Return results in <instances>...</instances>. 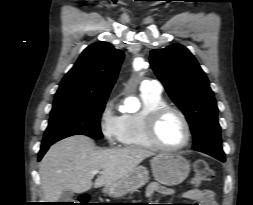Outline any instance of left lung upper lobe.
Here are the masks:
<instances>
[{"instance_id":"5c2ea615","label":"left lung upper lobe","mask_w":253,"mask_h":205,"mask_svg":"<svg viewBox=\"0 0 253 205\" xmlns=\"http://www.w3.org/2000/svg\"><path fill=\"white\" fill-rule=\"evenodd\" d=\"M150 63L169 96L186 116L194 138L193 149L225 158L217 104L195 57L183 45L172 44L152 50Z\"/></svg>"}]
</instances>
